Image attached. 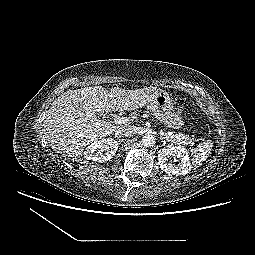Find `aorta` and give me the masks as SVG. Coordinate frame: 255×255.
<instances>
[{
    "label": "aorta",
    "mask_w": 255,
    "mask_h": 255,
    "mask_svg": "<svg viewBox=\"0 0 255 255\" xmlns=\"http://www.w3.org/2000/svg\"><path fill=\"white\" fill-rule=\"evenodd\" d=\"M155 142H156V138L152 134H145L142 137V145H144L146 147L153 146L155 144Z\"/></svg>",
    "instance_id": "762f6f07"
}]
</instances>
